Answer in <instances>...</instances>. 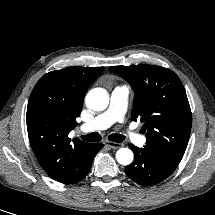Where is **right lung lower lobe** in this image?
Masks as SVG:
<instances>
[{"label":"right lung lower lobe","mask_w":215,"mask_h":215,"mask_svg":"<svg viewBox=\"0 0 215 215\" xmlns=\"http://www.w3.org/2000/svg\"><path fill=\"white\" fill-rule=\"evenodd\" d=\"M102 148V144L101 143H95L92 144L89 154L82 166L81 172L80 174L77 176L76 180L74 181V183L78 182L79 180L83 179L89 172L90 168H91V164L93 161L94 156L96 155V153ZM73 184V183H72Z\"/></svg>","instance_id":"1"}]
</instances>
